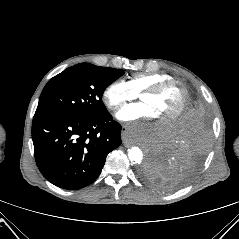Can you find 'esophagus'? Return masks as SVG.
<instances>
[{"mask_svg":"<svg viewBox=\"0 0 239 239\" xmlns=\"http://www.w3.org/2000/svg\"><path fill=\"white\" fill-rule=\"evenodd\" d=\"M127 130H128L127 126H123V127H122V139H123V143L128 146V145H129V142H128L127 138H126Z\"/></svg>","mask_w":239,"mask_h":239,"instance_id":"obj_1","label":"esophagus"}]
</instances>
